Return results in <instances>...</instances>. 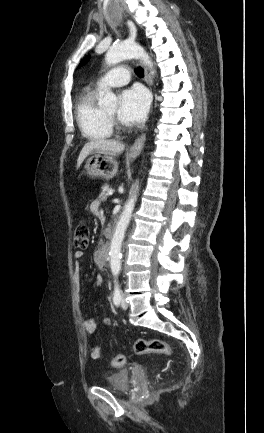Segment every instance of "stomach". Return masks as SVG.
Masks as SVG:
<instances>
[{
    "instance_id": "0dacf381",
    "label": "stomach",
    "mask_w": 264,
    "mask_h": 433,
    "mask_svg": "<svg viewBox=\"0 0 264 433\" xmlns=\"http://www.w3.org/2000/svg\"><path fill=\"white\" fill-rule=\"evenodd\" d=\"M84 169L92 178L110 180L118 172V162L114 155L97 153L87 160Z\"/></svg>"
}]
</instances>
